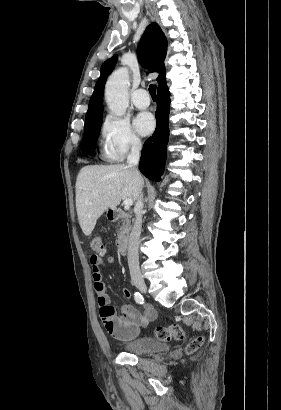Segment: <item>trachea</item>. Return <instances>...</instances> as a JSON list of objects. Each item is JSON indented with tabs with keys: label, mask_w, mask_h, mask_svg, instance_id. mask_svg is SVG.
<instances>
[{
	"label": "trachea",
	"mask_w": 281,
	"mask_h": 410,
	"mask_svg": "<svg viewBox=\"0 0 281 410\" xmlns=\"http://www.w3.org/2000/svg\"><path fill=\"white\" fill-rule=\"evenodd\" d=\"M149 93L153 99L156 98V85L151 84L149 86Z\"/></svg>",
	"instance_id": "3493384b"
}]
</instances>
